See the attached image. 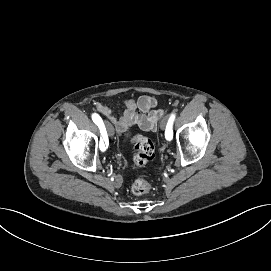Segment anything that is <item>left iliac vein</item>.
I'll use <instances>...</instances> for the list:
<instances>
[{
  "instance_id": "obj_1",
  "label": "left iliac vein",
  "mask_w": 271,
  "mask_h": 271,
  "mask_svg": "<svg viewBox=\"0 0 271 271\" xmlns=\"http://www.w3.org/2000/svg\"><path fill=\"white\" fill-rule=\"evenodd\" d=\"M160 126H161L162 129L165 128V126H166V117H163V119L160 122Z\"/></svg>"
}]
</instances>
